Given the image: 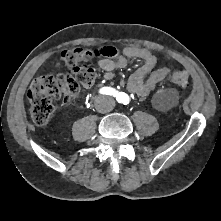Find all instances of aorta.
Returning a JSON list of instances; mask_svg holds the SVG:
<instances>
[{"label":"aorta","instance_id":"1","mask_svg":"<svg viewBox=\"0 0 221 221\" xmlns=\"http://www.w3.org/2000/svg\"><path fill=\"white\" fill-rule=\"evenodd\" d=\"M127 101V98L124 100V102H126Z\"/></svg>","mask_w":221,"mask_h":221}]
</instances>
